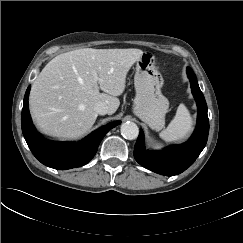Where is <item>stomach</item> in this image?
<instances>
[{"mask_svg":"<svg viewBox=\"0 0 243 243\" xmlns=\"http://www.w3.org/2000/svg\"><path fill=\"white\" fill-rule=\"evenodd\" d=\"M134 84L136 97L133 113L150 128L161 130L165 123L169 101L161 92L164 80L155 67V57L152 53L143 52L136 61Z\"/></svg>","mask_w":243,"mask_h":243,"instance_id":"obj_1","label":"stomach"}]
</instances>
